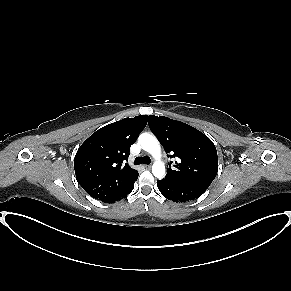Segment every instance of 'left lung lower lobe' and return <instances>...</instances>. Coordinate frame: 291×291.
<instances>
[{"label": "left lung lower lobe", "instance_id": "1", "mask_svg": "<svg viewBox=\"0 0 291 291\" xmlns=\"http://www.w3.org/2000/svg\"><path fill=\"white\" fill-rule=\"evenodd\" d=\"M157 186L167 199L175 202L194 200L206 191V189L183 184L166 176L162 180H157Z\"/></svg>", "mask_w": 291, "mask_h": 291}]
</instances>
